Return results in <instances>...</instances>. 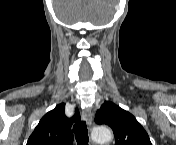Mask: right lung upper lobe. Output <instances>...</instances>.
<instances>
[{
    "label": "right lung upper lobe",
    "mask_w": 176,
    "mask_h": 145,
    "mask_svg": "<svg viewBox=\"0 0 176 145\" xmlns=\"http://www.w3.org/2000/svg\"><path fill=\"white\" fill-rule=\"evenodd\" d=\"M79 118L77 109L75 115L68 118L65 115V104L57 105L42 117L29 137L27 145H72L74 136L71 126Z\"/></svg>",
    "instance_id": "cb5924a9"
}]
</instances>
